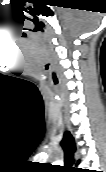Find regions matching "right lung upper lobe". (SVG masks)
Instances as JSON below:
<instances>
[{"instance_id": "obj_1", "label": "right lung upper lobe", "mask_w": 106, "mask_h": 172, "mask_svg": "<svg viewBox=\"0 0 106 172\" xmlns=\"http://www.w3.org/2000/svg\"><path fill=\"white\" fill-rule=\"evenodd\" d=\"M61 146L65 153V165L67 172H75V168L72 165L75 163V152L76 145L74 142V138L70 134L69 131L64 133V137L61 141Z\"/></svg>"}]
</instances>
